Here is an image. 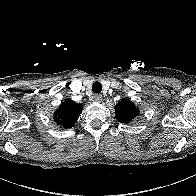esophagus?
Instances as JSON below:
<instances>
[{
  "instance_id": "1",
  "label": "esophagus",
  "mask_w": 196,
  "mask_h": 196,
  "mask_svg": "<svg viewBox=\"0 0 196 196\" xmlns=\"http://www.w3.org/2000/svg\"><path fill=\"white\" fill-rule=\"evenodd\" d=\"M92 98H93L94 102H101L102 101V96L100 94H94Z\"/></svg>"
}]
</instances>
